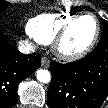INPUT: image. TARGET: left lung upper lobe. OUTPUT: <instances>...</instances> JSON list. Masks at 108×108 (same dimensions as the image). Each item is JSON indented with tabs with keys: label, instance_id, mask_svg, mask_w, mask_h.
<instances>
[{
	"label": "left lung upper lobe",
	"instance_id": "obj_1",
	"mask_svg": "<svg viewBox=\"0 0 108 108\" xmlns=\"http://www.w3.org/2000/svg\"><path fill=\"white\" fill-rule=\"evenodd\" d=\"M103 21H104L103 34L100 38L99 43L108 45V22L105 20Z\"/></svg>",
	"mask_w": 108,
	"mask_h": 108
}]
</instances>
